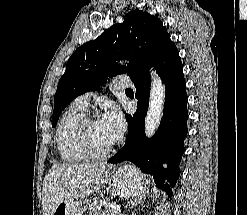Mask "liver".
Listing matches in <instances>:
<instances>
[{
  "mask_svg": "<svg viewBox=\"0 0 247 215\" xmlns=\"http://www.w3.org/2000/svg\"><path fill=\"white\" fill-rule=\"evenodd\" d=\"M111 168L103 162L53 164L44 178L43 215H52L63 200H78L97 192L107 181Z\"/></svg>",
  "mask_w": 247,
  "mask_h": 215,
  "instance_id": "1",
  "label": "liver"
}]
</instances>
